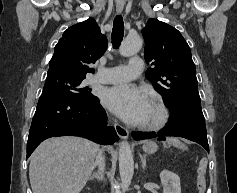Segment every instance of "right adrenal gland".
<instances>
[{"label": "right adrenal gland", "mask_w": 237, "mask_h": 193, "mask_svg": "<svg viewBox=\"0 0 237 193\" xmlns=\"http://www.w3.org/2000/svg\"><path fill=\"white\" fill-rule=\"evenodd\" d=\"M94 178L97 179L98 181H101L103 179V172L102 171L94 172L89 177V180H93Z\"/></svg>", "instance_id": "1"}]
</instances>
